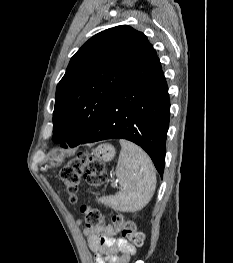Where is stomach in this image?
<instances>
[{"label": "stomach", "mask_w": 233, "mask_h": 263, "mask_svg": "<svg viewBox=\"0 0 233 263\" xmlns=\"http://www.w3.org/2000/svg\"><path fill=\"white\" fill-rule=\"evenodd\" d=\"M94 154L96 157L104 160V161H110L115 156V149L110 144H103L98 146L94 150ZM51 155V166L57 167L59 166L63 161V156L58 151L54 150L50 153Z\"/></svg>", "instance_id": "obj_1"}]
</instances>
